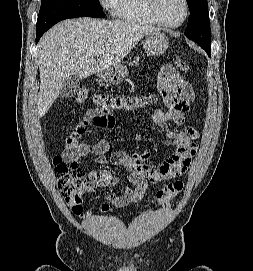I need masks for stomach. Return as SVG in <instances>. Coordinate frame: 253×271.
Instances as JSON below:
<instances>
[{
	"mask_svg": "<svg viewBox=\"0 0 253 271\" xmlns=\"http://www.w3.org/2000/svg\"><path fill=\"white\" fill-rule=\"evenodd\" d=\"M143 47L147 55L160 56L168 49L169 39L160 31L148 33L143 41ZM126 76H128V69L123 64H117L99 73V77L110 84L119 83Z\"/></svg>",
	"mask_w": 253,
	"mask_h": 271,
	"instance_id": "1",
	"label": "stomach"
}]
</instances>
